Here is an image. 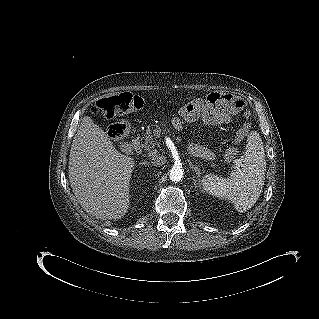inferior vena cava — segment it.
Returning a JSON list of instances; mask_svg holds the SVG:
<instances>
[{"instance_id": "obj_1", "label": "inferior vena cava", "mask_w": 319, "mask_h": 319, "mask_svg": "<svg viewBox=\"0 0 319 319\" xmlns=\"http://www.w3.org/2000/svg\"><path fill=\"white\" fill-rule=\"evenodd\" d=\"M151 163L154 165V166H162L166 163V157L162 154H159V153H156V152H153L151 154Z\"/></svg>"}]
</instances>
